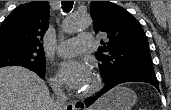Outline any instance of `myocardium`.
Here are the masks:
<instances>
[{
    "instance_id": "myocardium-1",
    "label": "myocardium",
    "mask_w": 171,
    "mask_h": 110,
    "mask_svg": "<svg viewBox=\"0 0 171 110\" xmlns=\"http://www.w3.org/2000/svg\"><path fill=\"white\" fill-rule=\"evenodd\" d=\"M101 87V79L99 76L94 75L92 78V84L91 86L84 90L81 94L80 97L85 98V97H89L93 94H95Z\"/></svg>"
}]
</instances>
